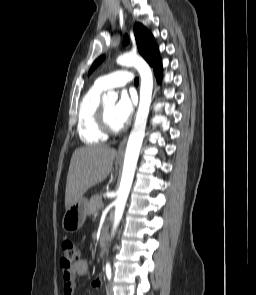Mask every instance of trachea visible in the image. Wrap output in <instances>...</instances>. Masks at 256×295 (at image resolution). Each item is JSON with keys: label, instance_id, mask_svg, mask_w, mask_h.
Masks as SVG:
<instances>
[{"label": "trachea", "instance_id": "trachea-1", "mask_svg": "<svg viewBox=\"0 0 256 295\" xmlns=\"http://www.w3.org/2000/svg\"><path fill=\"white\" fill-rule=\"evenodd\" d=\"M134 83H135L136 85L139 84V79H138L137 77L135 78Z\"/></svg>", "mask_w": 256, "mask_h": 295}]
</instances>
